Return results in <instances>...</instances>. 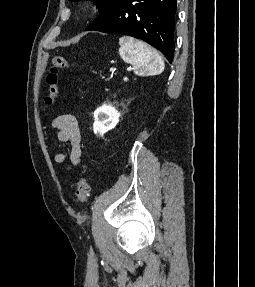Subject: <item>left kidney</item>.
I'll use <instances>...</instances> for the list:
<instances>
[{
    "label": "left kidney",
    "instance_id": "5707ae66",
    "mask_svg": "<svg viewBox=\"0 0 255 287\" xmlns=\"http://www.w3.org/2000/svg\"><path fill=\"white\" fill-rule=\"evenodd\" d=\"M121 114L117 112L113 106H106L103 104L101 108H97L94 112L93 130L96 136H103L108 130L115 128L119 122Z\"/></svg>",
    "mask_w": 255,
    "mask_h": 287
}]
</instances>
